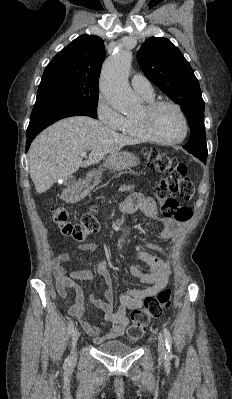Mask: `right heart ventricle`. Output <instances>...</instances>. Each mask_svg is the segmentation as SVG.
<instances>
[{"label":"right heart ventricle","instance_id":"e07e8e85","mask_svg":"<svg viewBox=\"0 0 232 399\" xmlns=\"http://www.w3.org/2000/svg\"><path fill=\"white\" fill-rule=\"evenodd\" d=\"M145 103H151L155 101L153 97L143 96ZM123 138L130 140L134 143H145L151 142L140 130L136 118L124 117L122 123L115 129Z\"/></svg>","mask_w":232,"mask_h":399}]
</instances>
